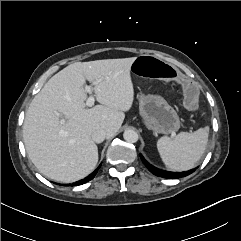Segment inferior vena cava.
<instances>
[{
	"instance_id": "1",
	"label": "inferior vena cava",
	"mask_w": 241,
	"mask_h": 241,
	"mask_svg": "<svg viewBox=\"0 0 241 241\" xmlns=\"http://www.w3.org/2000/svg\"><path fill=\"white\" fill-rule=\"evenodd\" d=\"M105 137H106V132L104 130H102V129H97L92 134V140L95 143L103 142Z\"/></svg>"
}]
</instances>
